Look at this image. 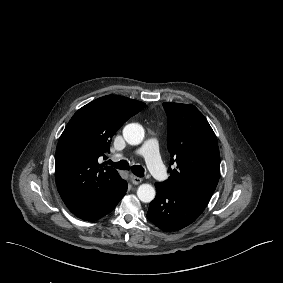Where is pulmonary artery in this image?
<instances>
[{
	"instance_id": "1",
	"label": "pulmonary artery",
	"mask_w": 283,
	"mask_h": 283,
	"mask_svg": "<svg viewBox=\"0 0 283 283\" xmlns=\"http://www.w3.org/2000/svg\"><path fill=\"white\" fill-rule=\"evenodd\" d=\"M158 151V141L155 138H148L142 146L134 150V154L142 155V160L154 174L155 178L162 179L165 176L162 157L155 154Z\"/></svg>"
}]
</instances>
